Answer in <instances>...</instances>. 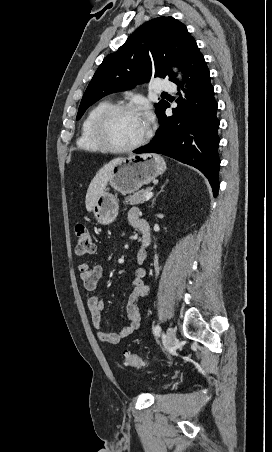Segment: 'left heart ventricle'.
I'll return each instance as SVG.
<instances>
[{
    "label": "left heart ventricle",
    "mask_w": 272,
    "mask_h": 452,
    "mask_svg": "<svg viewBox=\"0 0 272 452\" xmlns=\"http://www.w3.org/2000/svg\"><path fill=\"white\" fill-rule=\"evenodd\" d=\"M147 127V120L140 113L120 112L111 118L109 133L115 143L128 145L140 139Z\"/></svg>",
    "instance_id": "obj_1"
}]
</instances>
